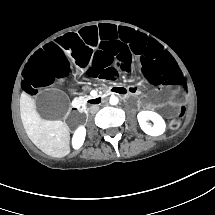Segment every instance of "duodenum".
Returning <instances> with one entry per match:
<instances>
[{"mask_svg":"<svg viewBox=\"0 0 215 215\" xmlns=\"http://www.w3.org/2000/svg\"><path fill=\"white\" fill-rule=\"evenodd\" d=\"M129 94H130L129 90L125 87H114V88L108 89L105 93L99 95L96 98L89 99L88 103L100 104L106 98H108L110 96L117 95V96H123V97L127 98L129 96ZM82 104H83V102L81 100H76L72 106V111L78 112L80 110Z\"/></svg>","mask_w":215,"mask_h":215,"instance_id":"1","label":"duodenum"}]
</instances>
